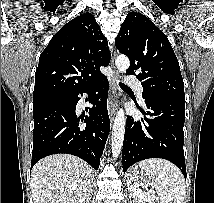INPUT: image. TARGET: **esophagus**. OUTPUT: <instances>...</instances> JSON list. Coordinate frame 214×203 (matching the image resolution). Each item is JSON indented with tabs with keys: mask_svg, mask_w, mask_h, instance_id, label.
Instances as JSON below:
<instances>
[{
	"mask_svg": "<svg viewBox=\"0 0 214 203\" xmlns=\"http://www.w3.org/2000/svg\"><path fill=\"white\" fill-rule=\"evenodd\" d=\"M115 52H114V56L112 59V66H113V61H114V57H115ZM120 79V75L118 73V71H116L115 68H113L112 71V83H111V93L109 96V101H108V112H109V117H110V122L112 124L113 120H114V116H115V112H116V105H115V98L117 96V91L119 89L118 86V82Z\"/></svg>",
	"mask_w": 214,
	"mask_h": 203,
	"instance_id": "34e87169",
	"label": "esophagus"
}]
</instances>
